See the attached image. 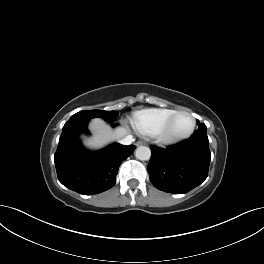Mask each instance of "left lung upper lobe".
Listing matches in <instances>:
<instances>
[{"label": "left lung upper lobe", "mask_w": 264, "mask_h": 264, "mask_svg": "<svg viewBox=\"0 0 264 264\" xmlns=\"http://www.w3.org/2000/svg\"><path fill=\"white\" fill-rule=\"evenodd\" d=\"M199 123V121H197V124ZM198 129H203V130H206V125L203 124V123H200L199 126H198Z\"/></svg>", "instance_id": "5c2ea615"}]
</instances>
